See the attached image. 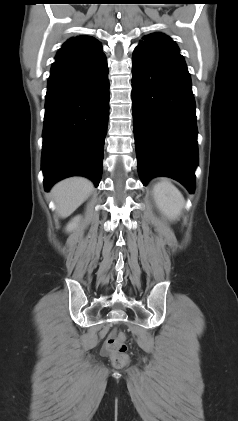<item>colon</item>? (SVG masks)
I'll list each match as a JSON object with an SVG mask.
<instances>
[{
    "label": "colon",
    "mask_w": 238,
    "mask_h": 421,
    "mask_svg": "<svg viewBox=\"0 0 238 421\" xmlns=\"http://www.w3.org/2000/svg\"><path fill=\"white\" fill-rule=\"evenodd\" d=\"M105 350L109 353L112 364L121 368L128 363L126 337L124 333L114 331L106 340Z\"/></svg>",
    "instance_id": "colon-1"
}]
</instances>
